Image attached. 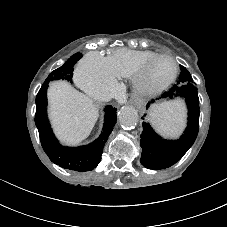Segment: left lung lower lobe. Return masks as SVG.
<instances>
[{
  "label": "left lung lower lobe",
  "mask_w": 227,
  "mask_h": 227,
  "mask_svg": "<svg viewBox=\"0 0 227 227\" xmlns=\"http://www.w3.org/2000/svg\"><path fill=\"white\" fill-rule=\"evenodd\" d=\"M173 96L185 98L188 107L187 128L178 140H166L156 134L148 123H143V131L140 136L142 147L140 161L146 168L159 170L174 165L184 156L197 137L200 111L195 84H175L161 98H172ZM153 102L154 100H152Z\"/></svg>",
  "instance_id": "0a47b994"
}]
</instances>
